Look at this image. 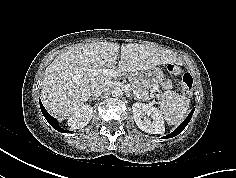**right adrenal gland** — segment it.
<instances>
[{
    "mask_svg": "<svg viewBox=\"0 0 236 178\" xmlns=\"http://www.w3.org/2000/svg\"><path fill=\"white\" fill-rule=\"evenodd\" d=\"M96 99H98V97H89V100H90V101H92V100L94 101V100H96Z\"/></svg>",
    "mask_w": 236,
    "mask_h": 178,
    "instance_id": "obj_1",
    "label": "right adrenal gland"
}]
</instances>
